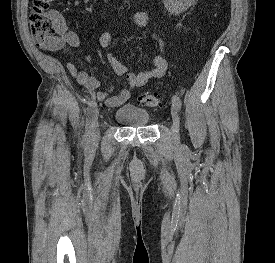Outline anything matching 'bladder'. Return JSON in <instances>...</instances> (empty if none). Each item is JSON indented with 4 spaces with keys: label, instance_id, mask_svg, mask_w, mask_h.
Masks as SVG:
<instances>
[{
    "label": "bladder",
    "instance_id": "bladder-1",
    "mask_svg": "<svg viewBox=\"0 0 275 263\" xmlns=\"http://www.w3.org/2000/svg\"><path fill=\"white\" fill-rule=\"evenodd\" d=\"M114 119L127 127H144L149 122L150 114L133 104L125 103L116 109Z\"/></svg>",
    "mask_w": 275,
    "mask_h": 263
}]
</instances>
